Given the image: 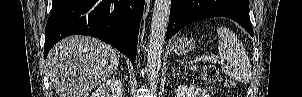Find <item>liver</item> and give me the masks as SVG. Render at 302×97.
Returning a JSON list of instances; mask_svg holds the SVG:
<instances>
[{
    "label": "liver",
    "mask_w": 302,
    "mask_h": 97,
    "mask_svg": "<svg viewBox=\"0 0 302 97\" xmlns=\"http://www.w3.org/2000/svg\"><path fill=\"white\" fill-rule=\"evenodd\" d=\"M119 58V52L101 40L71 36L48 54V75L59 97H88L116 71Z\"/></svg>",
    "instance_id": "liver-1"
}]
</instances>
